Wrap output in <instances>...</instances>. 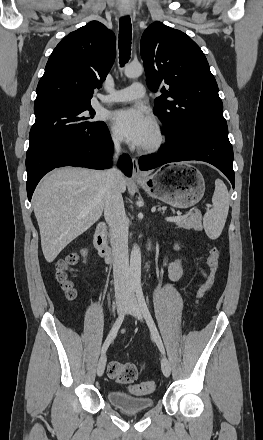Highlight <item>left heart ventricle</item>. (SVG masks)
Here are the masks:
<instances>
[{"instance_id": "b2bd125f", "label": "left heart ventricle", "mask_w": 263, "mask_h": 440, "mask_svg": "<svg viewBox=\"0 0 263 440\" xmlns=\"http://www.w3.org/2000/svg\"><path fill=\"white\" fill-rule=\"evenodd\" d=\"M152 139H153V131H152V128H151L150 131L147 133L146 137L144 138V140H143L141 145L149 143Z\"/></svg>"}]
</instances>
